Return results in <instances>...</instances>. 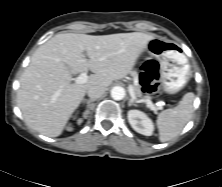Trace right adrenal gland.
<instances>
[{
  "label": "right adrenal gland",
  "instance_id": "obj_1",
  "mask_svg": "<svg viewBox=\"0 0 222 187\" xmlns=\"http://www.w3.org/2000/svg\"><path fill=\"white\" fill-rule=\"evenodd\" d=\"M94 101H95V99H89V100L84 99L83 103L87 104V109L85 110L84 115L89 114V109L91 108V105H92L91 103Z\"/></svg>",
  "mask_w": 222,
  "mask_h": 187
}]
</instances>
